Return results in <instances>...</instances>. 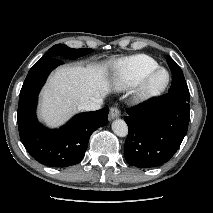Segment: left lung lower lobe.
I'll return each mask as SVG.
<instances>
[{
	"label": "left lung lower lobe",
	"mask_w": 213,
	"mask_h": 213,
	"mask_svg": "<svg viewBox=\"0 0 213 213\" xmlns=\"http://www.w3.org/2000/svg\"><path fill=\"white\" fill-rule=\"evenodd\" d=\"M127 162L138 168L160 166L180 147L190 120L189 96L167 93L127 110Z\"/></svg>",
	"instance_id": "1"
}]
</instances>
